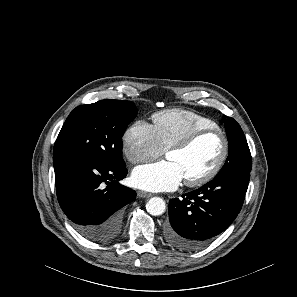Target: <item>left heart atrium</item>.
Returning <instances> with one entry per match:
<instances>
[{
	"instance_id": "1",
	"label": "left heart atrium",
	"mask_w": 297,
	"mask_h": 297,
	"mask_svg": "<svg viewBox=\"0 0 297 297\" xmlns=\"http://www.w3.org/2000/svg\"><path fill=\"white\" fill-rule=\"evenodd\" d=\"M184 180L182 168L172 160L138 166L131 174V183L148 191L174 190Z\"/></svg>"
}]
</instances>
